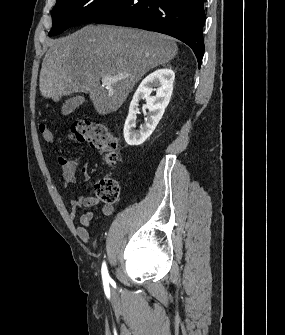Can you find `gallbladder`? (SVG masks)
<instances>
[{
  "mask_svg": "<svg viewBox=\"0 0 285 335\" xmlns=\"http://www.w3.org/2000/svg\"><path fill=\"white\" fill-rule=\"evenodd\" d=\"M82 102L83 100L81 96H76V98H69V100H66L61 110L63 116H68V114H71V112H74L76 108H79V106H81Z\"/></svg>",
  "mask_w": 285,
  "mask_h": 335,
  "instance_id": "gallbladder-1",
  "label": "gallbladder"
}]
</instances>
